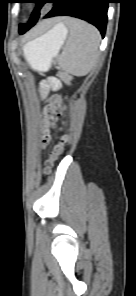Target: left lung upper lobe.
Wrapping results in <instances>:
<instances>
[{
  "mask_svg": "<svg viewBox=\"0 0 136 296\" xmlns=\"http://www.w3.org/2000/svg\"><path fill=\"white\" fill-rule=\"evenodd\" d=\"M50 1H52V0H36L34 3H36L37 6H36L35 10L32 13V16H31V19H30L29 23L28 24H25V25L24 24H20L19 30L20 29H23L25 27H32L36 23V21L38 20V18H39L40 8L42 7V5L44 3H49Z\"/></svg>",
  "mask_w": 136,
  "mask_h": 296,
  "instance_id": "obj_1",
  "label": "left lung upper lobe"
}]
</instances>
